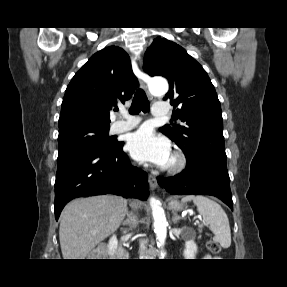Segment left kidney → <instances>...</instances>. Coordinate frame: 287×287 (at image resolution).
I'll list each match as a JSON object with an SVG mask.
<instances>
[{
    "label": "left kidney",
    "instance_id": "obj_1",
    "mask_svg": "<svg viewBox=\"0 0 287 287\" xmlns=\"http://www.w3.org/2000/svg\"><path fill=\"white\" fill-rule=\"evenodd\" d=\"M197 253V245L194 240H187L185 242V249L183 251V255L185 259H194Z\"/></svg>",
    "mask_w": 287,
    "mask_h": 287
}]
</instances>
